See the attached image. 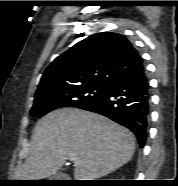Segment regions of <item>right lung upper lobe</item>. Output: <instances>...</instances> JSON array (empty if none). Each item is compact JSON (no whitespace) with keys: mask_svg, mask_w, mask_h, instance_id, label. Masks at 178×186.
<instances>
[{"mask_svg":"<svg viewBox=\"0 0 178 186\" xmlns=\"http://www.w3.org/2000/svg\"><path fill=\"white\" fill-rule=\"evenodd\" d=\"M142 65L139 52L123 35L97 33L58 56L43 73L36 93L91 83L110 84Z\"/></svg>","mask_w":178,"mask_h":186,"instance_id":"1","label":"right lung upper lobe"}]
</instances>
